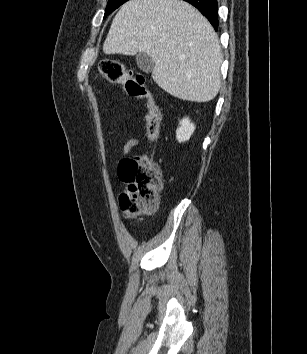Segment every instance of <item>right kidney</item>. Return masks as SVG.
I'll list each match as a JSON object with an SVG mask.
<instances>
[{
    "mask_svg": "<svg viewBox=\"0 0 307 354\" xmlns=\"http://www.w3.org/2000/svg\"><path fill=\"white\" fill-rule=\"evenodd\" d=\"M195 130V125L188 117L183 118L176 130V139L179 143L188 141Z\"/></svg>",
    "mask_w": 307,
    "mask_h": 354,
    "instance_id": "1",
    "label": "right kidney"
}]
</instances>
